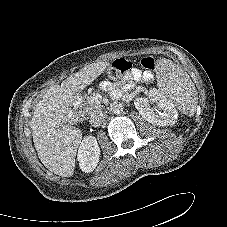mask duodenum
<instances>
[{"mask_svg": "<svg viewBox=\"0 0 227 227\" xmlns=\"http://www.w3.org/2000/svg\"><path fill=\"white\" fill-rule=\"evenodd\" d=\"M71 118H72L73 121H77L78 120V117H77L76 113L72 114Z\"/></svg>", "mask_w": 227, "mask_h": 227, "instance_id": "obj_1", "label": "duodenum"}]
</instances>
